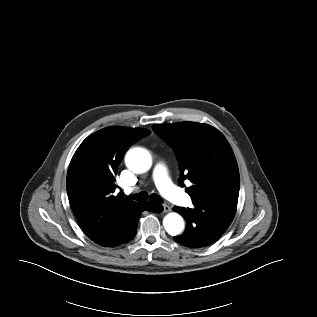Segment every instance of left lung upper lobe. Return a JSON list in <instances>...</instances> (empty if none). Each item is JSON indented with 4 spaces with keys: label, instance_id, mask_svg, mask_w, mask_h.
Masks as SVG:
<instances>
[{
    "label": "left lung upper lobe",
    "instance_id": "5c2ea615",
    "mask_svg": "<svg viewBox=\"0 0 317 317\" xmlns=\"http://www.w3.org/2000/svg\"><path fill=\"white\" fill-rule=\"evenodd\" d=\"M153 130L175 151L178 183L188 179L193 204L205 203L236 209L240 177L233 151L216 128L196 122L153 125Z\"/></svg>",
    "mask_w": 317,
    "mask_h": 317
}]
</instances>
